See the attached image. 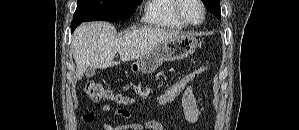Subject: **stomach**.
<instances>
[{"label":"stomach","instance_id":"0dacf381","mask_svg":"<svg viewBox=\"0 0 299 130\" xmlns=\"http://www.w3.org/2000/svg\"><path fill=\"white\" fill-rule=\"evenodd\" d=\"M197 44L198 40L191 34L173 37L133 62L131 71L143 74L152 73L165 61L182 60L192 55Z\"/></svg>","mask_w":299,"mask_h":130}]
</instances>
